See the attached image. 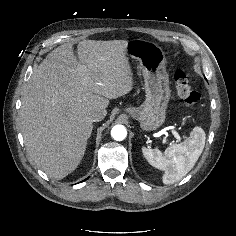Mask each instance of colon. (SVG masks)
Listing matches in <instances>:
<instances>
[{"label":"colon","instance_id":"obj_1","mask_svg":"<svg viewBox=\"0 0 236 236\" xmlns=\"http://www.w3.org/2000/svg\"><path fill=\"white\" fill-rule=\"evenodd\" d=\"M175 84L177 95L186 106L193 107L198 103L200 95L192 88L188 75L184 70L176 71Z\"/></svg>","mask_w":236,"mask_h":236}]
</instances>
